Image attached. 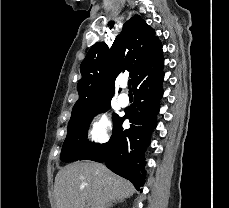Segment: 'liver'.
Instances as JSON below:
<instances>
[{
    "mask_svg": "<svg viewBox=\"0 0 229 208\" xmlns=\"http://www.w3.org/2000/svg\"><path fill=\"white\" fill-rule=\"evenodd\" d=\"M57 208H108L112 200L130 198L134 186L97 162H75L62 168L54 186Z\"/></svg>",
    "mask_w": 229,
    "mask_h": 208,
    "instance_id": "6515ba94",
    "label": "liver"
}]
</instances>
